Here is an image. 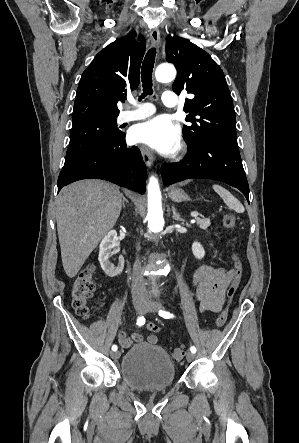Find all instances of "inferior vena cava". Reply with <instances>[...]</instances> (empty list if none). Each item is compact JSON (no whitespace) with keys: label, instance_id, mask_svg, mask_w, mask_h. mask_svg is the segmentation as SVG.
I'll return each mask as SVG.
<instances>
[{"label":"inferior vena cava","instance_id":"obj_1","mask_svg":"<svg viewBox=\"0 0 299 443\" xmlns=\"http://www.w3.org/2000/svg\"><path fill=\"white\" fill-rule=\"evenodd\" d=\"M137 250H140V245H137ZM141 263L137 258L133 266L132 275V295L134 297L144 296L146 294V285L143 276L140 272Z\"/></svg>","mask_w":299,"mask_h":443}]
</instances>
